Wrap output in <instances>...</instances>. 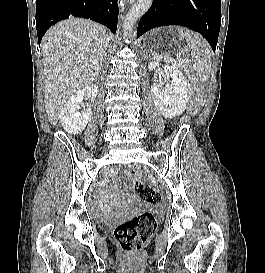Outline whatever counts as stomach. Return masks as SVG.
<instances>
[{
    "instance_id": "stomach-1",
    "label": "stomach",
    "mask_w": 265,
    "mask_h": 273,
    "mask_svg": "<svg viewBox=\"0 0 265 273\" xmlns=\"http://www.w3.org/2000/svg\"><path fill=\"white\" fill-rule=\"evenodd\" d=\"M180 25H161V30H150V35H145V40H140V49L147 51V56H177L179 35H184Z\"/></svg>"
}]
</instances>
